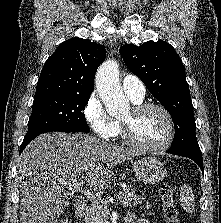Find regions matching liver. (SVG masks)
<instances>
[{"label":"liver","instance_id":"1","mask_svg":"<svg viewBox=\"0 0 221 223\" xmlns=\"http://www.w3.org/2000/svg\"><path fill=\"white\" fill-rule=\"evenodd\" d=\"M138 151L89 134L50 132L27 145L17 162L20 223H56L69 198L62 185L87 184L94 191L114 181L113 168Z\"/></svg>","mask_w":221,"mask_h":223}]
</instances>
